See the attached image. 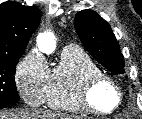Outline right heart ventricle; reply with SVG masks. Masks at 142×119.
<instances>
[{
	"label": "right heart ventricle",
	"mask_w": 142,
	"mask_h": 119,
	"mask_svg": "<svg viewBox=\"0 0 142 119\" xmlns=\"http://www.w3.org/2000/svg\"><path fill=\"white\" fill-rule=\"evenodd\" d=\"M97 73H101L100 68L85 51L77 46L65 47L57 64L49 70L43 103L71 114L85 113L76 91L87 76Z\"/></svg>",
	"instance_id": "1"
}]
</instances>
